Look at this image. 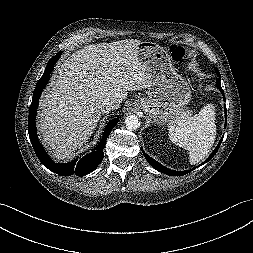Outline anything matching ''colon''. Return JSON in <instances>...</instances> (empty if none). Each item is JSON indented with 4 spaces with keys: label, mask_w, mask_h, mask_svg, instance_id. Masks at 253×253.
I'll return each mask as SVG.
<instances>
[{
    "label": "colon",
    "mask_w": 253,
    "mask_h": 253,
    "mask_svg": "<svg viewBox=\"0 0 253 253\" xmlns=\"http://www.w3.org/2000/svg\"><path fill=\"white\" fill-rule=\"evenodd\" d=\"M169 52L172 58L176 61H183L187 56V50L177 45H172Z\"/></svg>",
    "instance_id": "obj_1"
}]
</instances>
